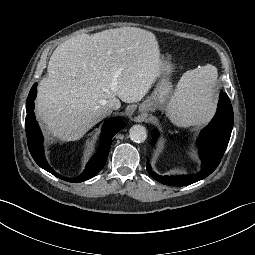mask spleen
Here are the masks:
<instances>
[{"instance_id":"spleen-1","label":"spleen","mask_w":255,"mask_h":255,"mask_svg":"<svg viewBox=\"0 0 255 255\" xmlns=\"http://www.w3.org/2000/svg\"><path fill=\"white\" fill-rule=\"evenodd\" d=\"M217 77V68L210 64L182 75L166 109V115L174 125L189 127L208 122L215 107Z\"/></svg>"}]
</instances>
